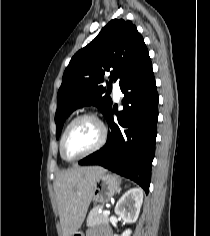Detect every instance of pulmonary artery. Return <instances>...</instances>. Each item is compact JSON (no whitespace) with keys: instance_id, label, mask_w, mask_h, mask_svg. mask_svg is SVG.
Masks as SVG:
<instances>
[{"instance_id":"pulmonary-artery-1","label":"pulmonary artery","mask_w":210,"mask_h":236,"mask_svg":"<svg viewBox=\"0 0 210 236\" xmlns=\"http://www.w3.org/2000/svg\"><path fill=\"white\" fill-rule=\"evenodd\" d=\"M113 92H114V96H115V99H119L120 95H121V91H120V87L118 85V83H114L113 84Z\"/></svg>"}]
</instances>
